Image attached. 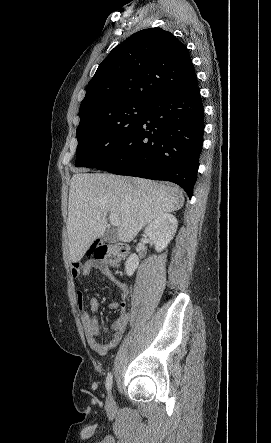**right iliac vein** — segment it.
Wrapping results in <instances>:
<instances>
[{
  "label": "right iliac vein",
  "instance_id": "1",
  "mask_svg": "<svg viewBox=\"0 0 271 443\" xmlns=\"http://www.w3.org/2000/svg\"><path fill=\"white\" fill-rule=\"evenodd\" d=\"M106 406L108 409H112L114 407V400L111 394H109L107 397Z\"/></svg>",
  "mask_w": 271,
  "mask_h": 443
}]
</instances>
